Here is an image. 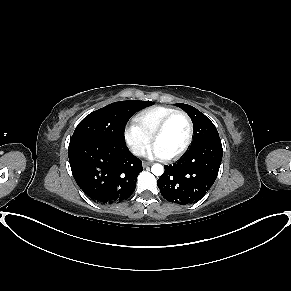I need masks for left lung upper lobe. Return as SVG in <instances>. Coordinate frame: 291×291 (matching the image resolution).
<instances>
[{
	"mask_svg": "<svg viewBox=\"0 0 291 291\" xmlns=\"http://www.w3.org/2000/svg\"><path fill=\"white\" fill-rule=\"evenodd\" d=\"M191 118L194 125V138L191 146L197 145L208 139L219 137L218 131L211 120L193 106L177 103Z\"/></svg>",
	"mask_w": 291,
	"mask_h": 291,
	"instance_id": "left-lung-upper-lobe-1",
	"label": "left lung upper lobe"
}]
</instances>
